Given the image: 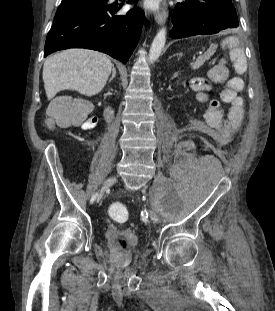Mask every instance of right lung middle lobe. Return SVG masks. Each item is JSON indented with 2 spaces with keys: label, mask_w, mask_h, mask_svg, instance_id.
<instances>
[{
  "label": "right lung middle lobe",
  "mask_w": 275,
  "mask_h": 311,
  "mask_svg": "<svg viewBox=\"0 0 275 311\" xmlns=\"http://www.w3.org/2000/svg\"><path fill=\"white\" fill-rule=\"evenodd\" d=\"M107 5V0H67L62 1V4L59 6L56 16L60 17L63 14L87 9V8H93V7H102Z\"/></svg>",
  "instance_id": "right-lung-middle-lobe-1"
}]
</instances>
